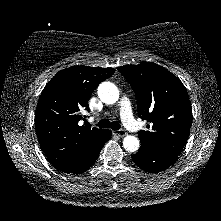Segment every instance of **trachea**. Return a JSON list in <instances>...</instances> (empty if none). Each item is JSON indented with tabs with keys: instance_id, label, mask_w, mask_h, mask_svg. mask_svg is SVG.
<instances>
[{
	"instance_id": "3493384b",
	"label": "trachea",
	"mask_w": 221,
	"mask_h": 221,
	"mask_svg": "<svg viewBox=\"0 0 221 221\" xmlns=\"http://www.w3.org/2000/svg\"><path fill=\"white\" fill-rule=\"evenodd\" d=\"M97 125L101 128H111L112 130H119L121 127L117 121L110 122L108 119H102Z\"/></svg>"
}]
</instances>
